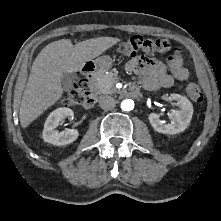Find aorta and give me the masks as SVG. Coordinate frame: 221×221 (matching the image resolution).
<instances>
[{"label":"aorta","instance_id":"1","mask_svg":"<svg viewBox=\"0 0 221 221\" xmlns=\"http://www.w3.org/2000/svg\"><path fill=\"white\" fill-rule=\"evenodd\" d=\"M134 108V101L131 99H125L121 102V109L123 111H131Z\"/></svg>","mask_w":221,"mask_h":221}]
</instances>
